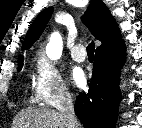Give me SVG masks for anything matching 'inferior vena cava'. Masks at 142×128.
<instances>
[{
    "label": "inferior vena cava",
    "instance_id": "1",
    "mask_svg": "<svg viewBox=\"0 0 142 128\" xmlns=\"http://www.w3.org/2000/svg\"><path fill=\"white\" fill-rule=\"evenodd\" d=\"M58 109L66 121L67 128H80L74 112V105L68 92L61 94Z\"/></svg>",
    "mask_w": 142,
    "mask_h": 128
}]
</instances>
